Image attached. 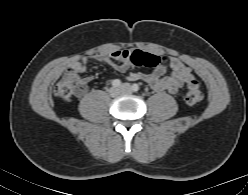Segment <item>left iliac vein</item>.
<instances>
[{
	"mask_svg": "<svg viewBox=\"0 0 248 195\" xmlns=\"http://www.w3.org/2000/svg\"><path fill=\"white\" fill-rule=\"evenodd\" d=\"M120 90L123 93H130L132 91V87L129 84L125 83L121 85Z\"/></svg>",
	"mask_w": 248,
	"mask_h": 195,
	"instance_id": "obj_1",
	"label": "left iliac vein"
}]
</instances>
